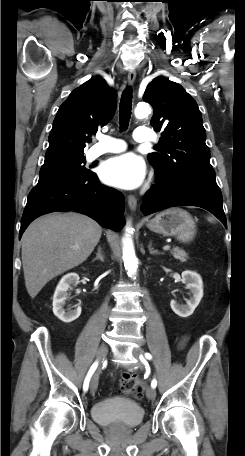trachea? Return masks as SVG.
Returning a JSON list of instances; mask_svg holds the SVG:
<instances>
[{"label":"trachea","mask_w":245,"mask_h":456,"mask_svg":"<svg viewBox=\"0 0 245 456\" xmlns=\"http://www.w3.org/2000/svg\"><path fill=\"white\" fill-rule=\"evenodd\" d=\"M131 110H132V90L131 88H126L123 91L120 100L119 106V123H120V130H126L129 124V120L131 117Z\"/></svg>","instance_id":"1"}]
</instances>
